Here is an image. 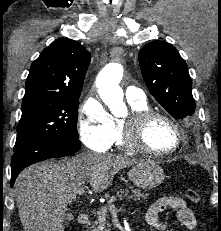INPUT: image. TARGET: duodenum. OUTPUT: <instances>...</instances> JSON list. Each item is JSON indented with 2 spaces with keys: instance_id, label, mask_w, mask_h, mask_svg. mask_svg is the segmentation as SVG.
Segmentation results:
<instances>
[{
  "instance_id": "410a0bca",
  "label": "duodenum",
  "mask_w": 221,
  "mask_h": 231,
  "mask_svg": "<svg viewBox=\"0 0 221 231\" xmlns=\"http://www.w3.org/2000/svg\"><path fill=\"white\" fill-rule=\"evenodd\" d=\"M78 222L79 224H87L89 222V216L87 213H80L78 216Z\"/></svg>"
}]
</instances>
